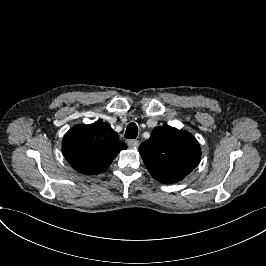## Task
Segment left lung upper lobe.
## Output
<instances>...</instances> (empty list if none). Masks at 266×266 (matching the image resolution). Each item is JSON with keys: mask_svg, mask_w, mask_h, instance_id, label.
<instances>
[{"mask_svg": "<svg viewBox=\"0 0 266 266\" xmlns=\"http://www.w3.org/2000/svg\"><path fill=\"white\" fill-rule=\"evenodd\" d=\"M138 150L150 174L164 184L183 180L201 158L195 137L168 125L154 128Z\"/></svg>", "mask_w": 266, "mask_h": 266, "instance_id": "5c2ea615", "label": "left lung upper lobe"}]
</instances>
